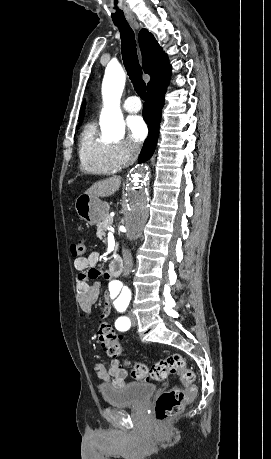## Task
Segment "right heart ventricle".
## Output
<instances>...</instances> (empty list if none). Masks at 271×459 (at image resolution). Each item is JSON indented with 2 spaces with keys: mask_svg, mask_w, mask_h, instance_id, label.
Here are the masks:
<instances>
[{
  "mask_svg": "<svg viewBox=\"0 0 271 459\" xmlns=\"http://www.w3.org/2000/svg\"><path fill=\"white\" fill-rule=\"evenodd\" d=\"M80 168L84 173L110 174L120 168L113 155V143L100 138L93 122L82 130L79 140Z\"/></svg>",
  "mask_w": 271,
  "mask_h": 459,
  "instance_id": "right-heart-ventricle-1",
  "label": "right heart ventricle"
}]
</instances>
